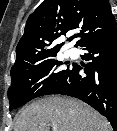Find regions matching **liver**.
I'll list each match as a JSON object with an SVG mask.
<instances>
[{
  "instance_id": "1",
  "label": "liver",
  "mask_w": 117,
  "mask_h": 131,
  "mask_svg": "<svg viewBox=\"0 0 117 131\" xmlns=\"http://www.w3.org/2000/svg\"><path fill=\"white\" fill-rule=\"evenodd\" d=\"M110 131L108 121L93 108L79 100L49 96L23 108L14 131Z\"/></svg>"
}]
</instances>
